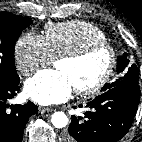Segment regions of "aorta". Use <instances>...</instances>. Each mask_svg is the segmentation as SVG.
I'll return each instance as SVG.
<instances>
[{"instance_id":"obj_1","label":"aorta","mask_w":142,"mask_h":142,"mask_svg":"<svg viewBox=\"0 0 142 142\" xmlns=\"http://www.w3.org/2000/svg\"><path fill=\"white\" fill-rule=\"evenodd\" d=\"M51 122L54 127L63 128L68 124V117L64 112L58 111L51 116Z\"/></svg>"}]
</instances>
